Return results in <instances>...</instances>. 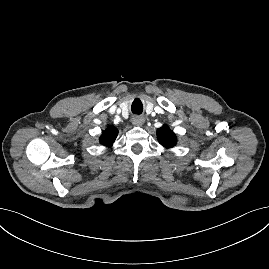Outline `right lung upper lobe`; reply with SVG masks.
<instances>
[{
    "mask_svg": "<svg viewBox=\"0 0 269 269\" xmlns=\"http://www.w3.org/2000/svg\"><path fill=\"white\" fill-rule=\"evenodd\" d=\"M118 135V130L115 127L109 126L107 129L102 133L100 137V143L104 146H112L116 137Z\"/></svg>",
    "mask_w": 269,
    "mask_h": 269,
    "instance_id": "right-lung-upper-lobe-1",
    "label": "right lung upper lobe"
}]
</instances>
